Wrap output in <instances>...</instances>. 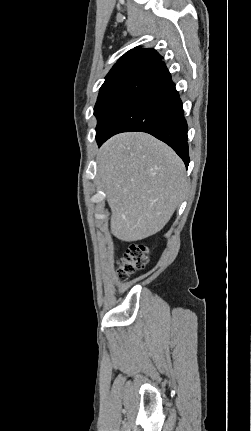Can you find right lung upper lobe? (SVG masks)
<instances>
[{
    "label": "right lung upper lobe",
    "mask_w": 251,
    "mask_h": 431,
    "mask_svg": "<svg viewBox=\"0 0 251 431\" xmlns=\"http://www.w3.org/2000/svg\"><path fill=\"white\" fill-rule=\"evenodd\" d=\"M158 55L156 50L152 48H139L136 47L135 49H132L125 53L113 66V68L110 70L108 75L109 77L111 74L116 72L117 70L128 66L132 64H144L145 66H148Z\"/></svg>",
    "instance_id": "obj_1"
}]
</instances>
